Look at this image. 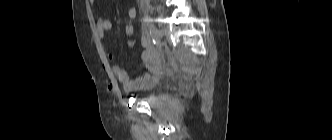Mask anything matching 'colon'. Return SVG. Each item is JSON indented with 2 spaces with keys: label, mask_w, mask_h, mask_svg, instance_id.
<instances>
[{
  "label": "colon",
  "mask_w": 332,
  "mask_h": 140,
  "mask_svg": "<svg viewBox=\"0 0 332 140\" xmlns=\"http://www.w3.org/2000/svg\"><path fill=\"white\" fill-rule=\"evenodd\" d=\"M134 25L130 22L127 21L124 24V33L126 36H133L134 35Z\"/></svg>",
  "instance_id": "obj_1"
}]
</instances>
